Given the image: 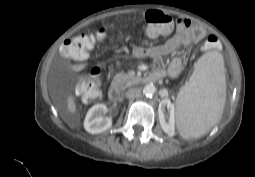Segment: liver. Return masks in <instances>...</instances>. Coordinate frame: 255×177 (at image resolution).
<instances>
[{"label":"liver","instance_id":"liver-1","mask_svg":"<svg viewBox=\"0 0 255 177\" xmlns=\"http://www.w3.org/2000/svg\"><path fill=\"white\" fill-rule=\"evenodd\" d=\"M67 108L68 110L71 112V113H74L75 110H76V106H75V103L73 101V99L71 97H68V100H67Z\"/></svg>","mask_w":255,"mask_h":177}]
</instances>
